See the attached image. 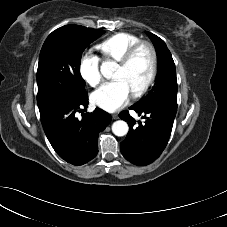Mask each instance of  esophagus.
Returning a JSON list of instances; mask_svg holds the SVG:
<instances>
[{"mask_svg": "<svg viewBox=\"0 0 227 227\" xmlns=\"http://www.w3.org/2000/svg\"><path fill=\"white\" fill-rule=\"evenodd\" d=\"M112 119H114V120H115V119H118V115H117V114H113V115H112Z\"/></svg>", "mask_w": 227, "mask_h": 227, "instance_id": "esophagus-1", "label": "esophagus"}]
</instances>
